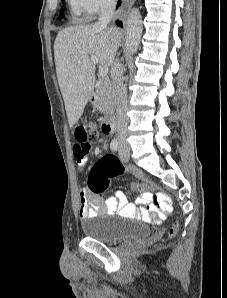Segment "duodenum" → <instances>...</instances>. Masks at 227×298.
I'll return each mask as SVG.
<instances>
[{"mask_svg":"<svg viewBox=\"0 0 227 298\" xmlns=\"http://www.w3.org/2000/svg\"><path fill=\"white\" fill-rule=\"evenodd\" d=\"M91 101H96L94 93L90 96ZM116 130V118L114 115H109L102 123V131L104 134H112Z\"/></svg>","mask_w":227,"mask_h":298,"instance_id":"1","label":"duodenum"}]
</instances>
